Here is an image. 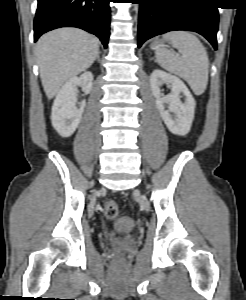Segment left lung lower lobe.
I'll return each instance as SVG.
<instances>
[{
    "label": "left lung lower lobe",
    "mask_w": 246,
    "mask_h": 300,
    "mask_svg": "<svg viewBox=\"0 0 246 300\" xmlns=\"http://www.w3.org/2000/svg\"><path fill=\"white\" fill-rule=\"evenodd\" d=\"M140 4L138 47L173 30L194 31L217 49L219 14L214 0H136Z\"/></svg>",
    "instance_id": "left-lung-lower-lobe-1"
}]
</instances>
